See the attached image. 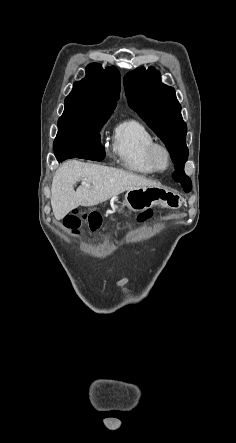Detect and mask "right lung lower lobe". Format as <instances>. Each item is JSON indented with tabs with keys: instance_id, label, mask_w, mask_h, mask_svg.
<instances>
[{
	"instance_id": "obj_1",
	"label": "right lung lower lobe",
	"mask_w": 236,
	"mask_h": 443,
	"mask_svg": "<svg viewBox=\"0 0 236 443\" xmlns=\"http://www.w3.org/2000/svg\"><path fill=\"white\" fill-rule=\"evenodd\" d=\"M55 156L59 162L74 157L101 161L105 157V151L101 145H82L63 148L55 152Z\"/></svg>"
}]
</instances>
